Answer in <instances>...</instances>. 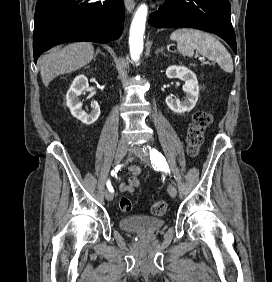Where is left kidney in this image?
I'll return each mask as SVG.
<instances>
[{"instance_id": "left-kidney-1", "label": "left kidney", "mask_w": 272, "mask_h": 282, "mask_svg": "<svg viewBox=\"0 0 272 282\" xmlns=\"http://www.w3.org/2000/svg\"><path fill=\"white\" fill-rule=\"evenodd\" d=\"M166 76L169 79L179 78L184 81L183 91L187 94L184 101L174 99L172 96L166 97V104L175 113L191 111L198 101L199 86L196 75L187 67L172 65L166 69Z\"/></svg>"}]
</instances>
